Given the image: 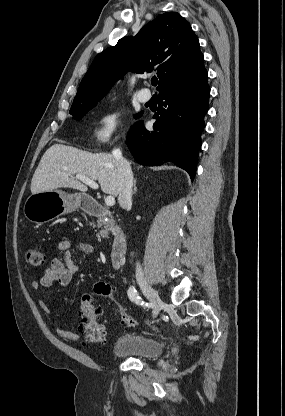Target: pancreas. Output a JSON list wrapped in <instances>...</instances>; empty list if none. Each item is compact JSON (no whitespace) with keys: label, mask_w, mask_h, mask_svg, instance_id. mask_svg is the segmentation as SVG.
I'll return each mask as SVG.
<instances>
[{"label":"pancreas","mask_w":285,"mask_h":416,"mask_svg":"<svg viewBox=\"0 0 285 416\" xmlns=\"http://www.w3.org/2000/svg\"><path fill=\"white\" fill-rule=\"evenodd\" d=\"M94 228H104V230H100V232L96 234L97 238H100V236L107 238L108 232H110V230H115L113 220H110V222H101V220H97V226H94Z\"/></svg>","instance_id":"cf45deb5"}]
</instances>
